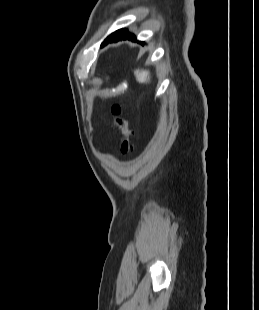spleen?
Segmentation results:
<instances>
[{"label":"spleen","mask_w":259,"mask_h":310,"mask_svg":"<svg viewBox=\"0 0 259 310\" xmlns=\"http://www.w3.org/2000/svg\"><path fill=\"white\" fill-rule=\"evenodd\" d=\"M134 74L139 83H147L150 80V73L147 70L137 69L134 71Z\"/></svg>","instance_id":"obj_1"}]
</instances>
